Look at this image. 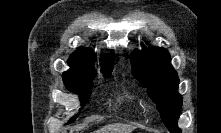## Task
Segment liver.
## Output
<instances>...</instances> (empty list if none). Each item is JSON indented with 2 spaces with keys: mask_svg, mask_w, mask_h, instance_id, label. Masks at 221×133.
<instances>
[{
  "mask_svg": "<svg viewBox=\"0 0 221 133\" xmlns=\"http://www.w3.org/2000/svg\"><path fill=\"white\" fill-rule=\"evenodd\" d=\"M133 130L134 127L130 125L111 124L97 130L95 133H131Z\"/></svg>",
  "mask_w": 221,
  "mask_h": 133,
  "instance_id": "liver-1",
  "label": "liver"
}]
</instances>
